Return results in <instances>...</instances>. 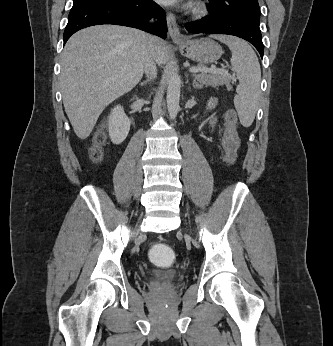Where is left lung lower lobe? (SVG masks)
<instances>
[{
	"mask_svg": "<svg viewBox=\"0 0 333 346\" xmlns=\"http://www.w3.org/2000/svg\"><path fill=\"white\" fill-rule=\"evenodd\" d=\"M209 15L200 20L186 24L190 33L206 34H228L249 41L263 57L264 49L259 25L246 19L235 16H222L211 7L208 8Z\"/></svg>",
	"mask_w": 333,
	"mask_h": 346,
	"instance_id": "0a47b994",
	"label": "left lung lower lobe"
}]
</instances>
